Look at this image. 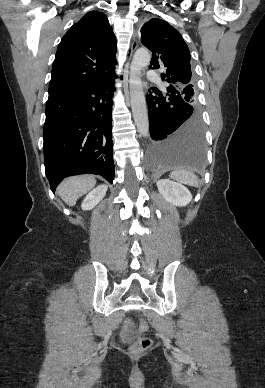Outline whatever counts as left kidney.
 <instances>
[{
  "mask_svg": "<svg viewBox=\"0 0 265 388\" xmlns=\"http://www.w3.org/2000/svg\"><path fill=\"white\" fill-rule=\"evenodd\" d=\"M156 186L159 194L173 206H187L192 200L189 190L182 184H176V182H170V180H158Z\"/></svg>",
  "mask_w": 265,
  "mask_h": 388,
  "instance_id": "obj_1",
  "label": "left kidney"
}]
</instances>
